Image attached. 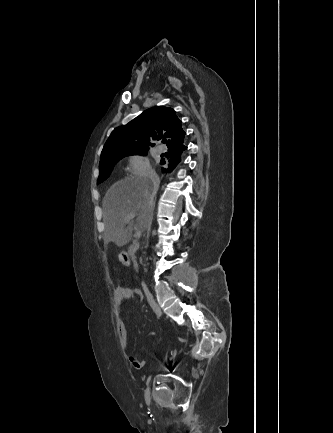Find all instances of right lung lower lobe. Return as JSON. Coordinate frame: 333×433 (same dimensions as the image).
<instances>
[{
	"mask_svg": "<svg viewBox=\"0 0 333 433\" xmlns=\"http://www.w3.org/2000/svg\"><path fill=\"white\" fill-rule=\"evenodd\" d=\"M187 149V146L182 145L179 146L177 148H174L172 150H168L171 158L168 161V168H162V172H171L176 166L177 164L181 161V154L184 150ZM160 164H165V160L161 159Z\"/></svg>",
	"mask_w": 333,
	"mask_h": 433,
	"instance_id": "98d812e1",
	"label": "right lung lower lobe"
}]
</instances>
